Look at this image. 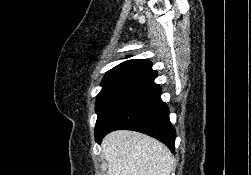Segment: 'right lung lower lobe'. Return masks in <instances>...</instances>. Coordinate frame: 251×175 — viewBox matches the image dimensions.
<instances>
[{
	"instance_id": "1",
	"label": "right lung lower lobe",
	"mask_w": 251,
	"mask_h": 175,
	"mask_svg": "<svg viewBox=\"0 0 251 175\" xmlns=\"http://www.w3.org/2000/svg\"><path fill=\"white\" fill-rule=\"evenodd\" d=\"M154 79L137 81L109 106L95 130L98 143L111 131L127 129L152 136L175 153L176 132L169 109L160 98L161 87Z\"/></svg>"
}]
</instances>
